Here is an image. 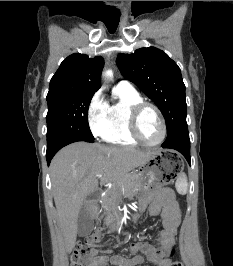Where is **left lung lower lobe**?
<instances>
[{"instance_id":"0a47b994","label":"left lung lower lobe","mask_w":233,"mask_h":266,"mask_svg":"<svg viewBox=\"0 0 233 266\" xmlns=\"http://www.w3.org/2000/svg\"><path fill=\"white\" fill-rule=\"evenodd\" d=\"M162 147L179 151L191 165L190 139L186 121L180 123L176 129L168 133Z\"/></svg>"}]
</instances>
